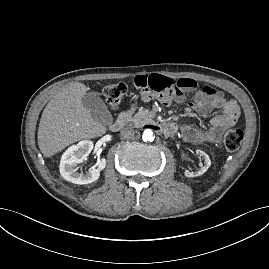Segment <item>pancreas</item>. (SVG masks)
Instances as JSON below:
<instances>
[{"mask_svg": "<svg viewBox=\"0 0 269 269\" xmlns=\"http://www.w3.org/2000/svg\"><path fill=\"white\" fill-rule=\"evenodd\" d=\"M150 120L149 111L147 109H140L134 116H127L125 122L132 127H142Z\"/></svg>", "mask_w": 269, "mask_h": 269, "instance_id": "pancreas-1", "label": "pancreas"}]
</instances>
